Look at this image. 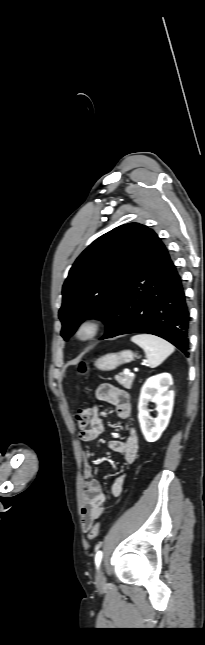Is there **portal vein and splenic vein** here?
Instances as JSON below:
<instances>
[{
    "label": "portal vein and splenic vein",
    "instance_id": "obj_1",
    "mask_svg": "<svg viewBox=\"0 0 205 645\" xmlns=\"http://www.w3.org/2000/svg\"><path fill=\"white\" fill-rule=\"evenodd\" d=\"M124 374L133 375V374L130 373V371L128 369L124 370Z\"/></svg>",
    "mask_w": 205,
    "mask_h": 645
}]
</instances>
